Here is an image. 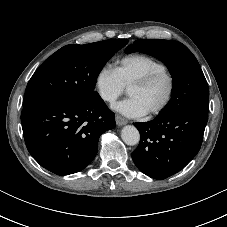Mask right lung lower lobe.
Instances as JSON below:
<instances>
[{
	"instance_id": "right-lung-lower-lobe-1",
	"label": "right lung lower lobe",
	"mask_w": 227,
	"mask_h": 227,
	"mask_svg": "<svg viewBox=\"0 0 227 227\" xmlns=\"http://www.w3.org/2000/svg\"><path fill=\"white\" fill-rule=\"evenodd\" d=\"M21 122L31 156L45 169L68 175L91 163L100 135L115 127V115L99 95L53 98L24 106Z\"/></svg>"
}]
</instances>
